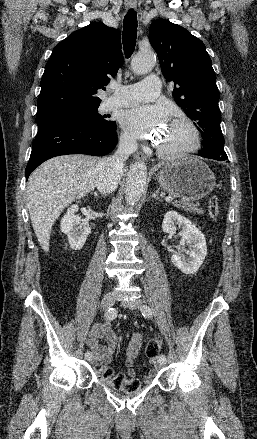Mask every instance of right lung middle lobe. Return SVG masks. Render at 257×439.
Returning <instances> with one entry per match:
<instances>
[{"instance_id":"obj_1","label":"right lung middle lobe","mask_w":257,"mask_h":439,"mask_svg":"<svg viewBox=\"0 0 257 439\" xmlns=\"http://www.w3.org/2000/svg\"><path fill=\"white\" fill-rule=\"evenodd\" d=\"M98 107L99 106H95V107H91V108H84V109H79V110H75L72 112H68L65 114H61L58 116H54L51 118H47L44 120H36L37 124H41L43 122H47V121H51V120H57V119H72V120H77V121H81L96 127H112L114 126L116 123L108 120L107 116H102L98 113Z\"/></svg>"}]
</instances>
